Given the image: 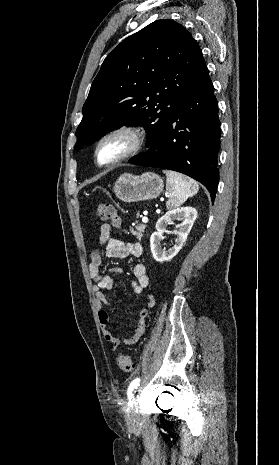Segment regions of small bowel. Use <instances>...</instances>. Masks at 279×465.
Segmentation results:
<instances>
[{"label":"small bowel","instance_id":"small-bowel-1","mask_svg":"<svg viewBox=\"0 0 279 465\" xmlns=\"http://www.w3.org/2000/svg\"><path fill=\"white\" fill-rule=\"evenodd\" d=\"M99 244L104 248V255L108 258H126L128 256L140 257L143 253L142 246L139 242H124L111 235V226L104 223L100 226ZM121 272L118 267H108L102 270V255L98 248H95L90 253L89 275L94 281L93 291L98 309V319L101 331L105 341L110 345L111 349H116L121 343L132 345L136 343L142 336L145 330V321L148 314V308L154 305V296L149 293L146 296V308H143L137 319L133 334L128 337H120L114 334L109 328V314L107 308L110 306L107 301L104 290L113 288L115 280L114 274ZM133 274L135 281L132 282L133 292L140 294L149 286V276L144 263L137 262L133 266Z\"/></svg>","mask_w":279,"mask_h":465}]
</instances>
